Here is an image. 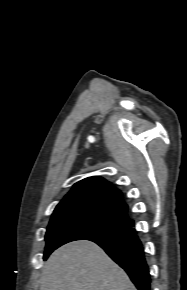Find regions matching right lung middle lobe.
Returning <instances> with one entry per match:
<instances>
[{
  "label": "right lung middle lobe",
  "mask_w": 187,
  "mask_h": 290,
  "mask_svg": "<svg viewBox=\"0 0 187 290\" xmlns=\"http://www.w3.org/2000/svg\"><path fill=\"white\" fill-rule=\"evenodd\" d=\"M133 226L114 212L104 208L82 207L53 213L46 232L43 259L61 245L118 232Z\"/></svg>",
  "instance_id": "right-lung-middle-lobe-1"
}]
</instances>
